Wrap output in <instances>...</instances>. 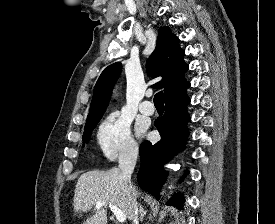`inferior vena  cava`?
<instances>
[{"mask_svg":"<svg viewBox=\"0 0 275 224\" xmlns=\"http://www.w3.org/2000/svg\"><path fill=\"white\" fill-rule=\"evenodd\" d=\"M138 157V148L130 147L119 155V168L122 171L123 179L131 193V207L133 210V223L138 224V206L134 188L131 183V175L134 171Z\"/></svg>","mask_w":275,"mask_h":224,"instance_id":"602c4592","label":"inferior vena cava"}]
</instances>
